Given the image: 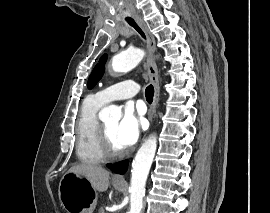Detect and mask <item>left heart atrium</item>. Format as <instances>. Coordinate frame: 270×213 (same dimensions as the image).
Listing matches in <instances>:
<instances>
[{"label": "left heart atrium", "mask_w": 270, "mask_h": 213, "mask_svg": "<svg viewBox=\"0 0 270 213\" xmlns=\"http://www.w3.org/2000/svg\"><path fill=\"white\" fill-rule=\"evenodd\" d=\"M142 125V119L131 108H125L116 129V138L122 149L130 148L137 142Z\"/></svg>", "instance_id": "obj_1"}]
</instances>
